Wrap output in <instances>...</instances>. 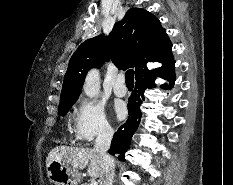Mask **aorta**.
Masks as SVG:
<instances>
[{
    "mask_svg": "<svg viewBox=\"0 0 233 185\" xmlns=\"http://www.w3.org/2000/svg\"><path fill=\"white\" fill-rule=\"evenodd\" d=\"M85 94L89 97H94L100 90V76L95 69L88 72L83 86Z\"/></svg>",
    "mask_w": 233,
    "mask_h": 185,
    "instance_id": "762f6f07",
    "label": "aorta"
}]
</instances>
